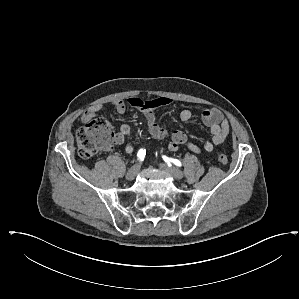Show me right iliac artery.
Returning a JSON list of instances; mask_svg holds the SVG:
<instances>
[{
  "label": "right iliac artery",
  "mask_w": 299,
  "mask_h": 299,
  "mask_svg": "<svg viewBox=\"0 0 299 299\" xmlns=\"http://www.w3.org/2000/svg\"><path fill=\"white\" fill-rule=\"evenodd\" d=\"M145 155H146V150L145 149H140L137 153L138 160L140 162H142L145 158Z\"/></svg>",
  "instance_id": "obj_1"
}]
</instances>
